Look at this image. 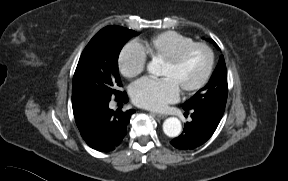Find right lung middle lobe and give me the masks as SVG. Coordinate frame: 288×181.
<instances>
[{"label": "right lung middle lobe", "instance_id": "right-lung-middle-lobe-1", "mask_svg": "<svg viewBox=\"0 0 288 181\" xmlns=\"http://www.w3.org/2000/svg\"><path fill=\"white\" fill-rule=\"evenodd\" d=\"M137 32L120 26L101 29L81 54L73 77L72 100L84 106H101L123 92L118 73V56Z\"/></svg>", "mask_w": 288, "mask_h": 181}]
</instances>
